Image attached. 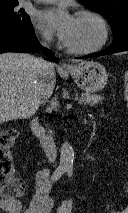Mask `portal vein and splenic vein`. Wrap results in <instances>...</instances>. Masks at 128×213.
I'll return each mask as SVG.
<instances>
[{"instance_id":"portal-vein-and-splenic-vein-1","label":"portal vein and splenic vein","mask_w":128,"mask_h":213,"mask_svg":"<svg viewBox=\"0 0 128 213\" xmlns=\"http://www.w3.org/2000/svg\"><path fill=\"white\" fill-rule=\"evenodd\" d=\"M79 103H82V100H79Z\"/></svg>"}]
</instances>
